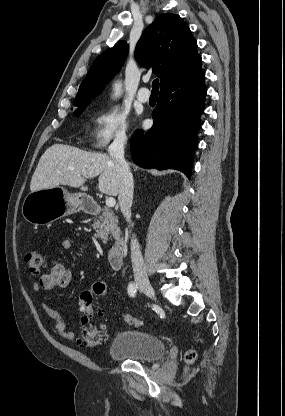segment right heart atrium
Wrapping results in <instances>:
<instances>
[{
  "label": "right heart atrium",
  "mask_w": 285,
  "mask_h": 416,
  "mask_svg": "<svg viewBox=\"0 0 285 416\" xmlns=\"http://www.w3.org/2000/svg\"><path fill=\"white\" fill-rule=\"evenodd\" d=\"M126 128V116L119 108L100 109L93 116L89 142L93 148L103 150L112 142L123 141Z\"/></svg>",
  "instance_id": "d8ad5b80"
}]
</instances>
